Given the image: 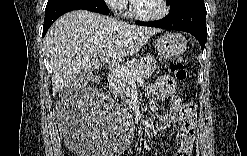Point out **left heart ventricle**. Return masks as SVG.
Wrapping results in <instances>:
<instances>
[{
    "label": "left heart ventricle",
    "instance_id": "1",
    "mask_svg": "<svg viewBox=\"0 0 247 156\" xmlns=\"http://www.w3.org/2000/svg\"><path fill=\"white\" fill-rule=\"evenodd\" d=\"M136 11L142 15L158 13L161 9L160 2L157 0L134 1Z\"/></svg>",
    "mask_w": 247,
    "mask_h": 156
}]
</instances>
